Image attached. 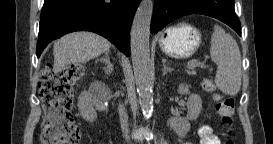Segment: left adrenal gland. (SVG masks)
<instances>
[{
  "mask_svg": "<svg viewBox=\"0 0 273 144\" xmlns=\"http://www.w3.org/2000/svg\"><path fill=\"white\" fill-rule=\"evenodd\" d=\"M162 63H163L162 72H163V76H165V75L167 74L168 71H171V70H172V68L167 67L165 59L162 60Z\"/></svg>",
  "mask_w": 273,
  "mask_h": 144,
  "instance_id": "obj_1",
  "label": "left adrenal gland"
}]
</instances>
